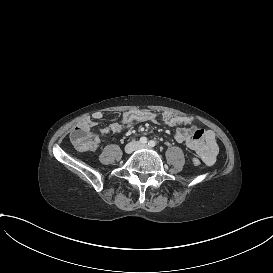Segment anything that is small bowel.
<instances>
[{
  "label": "small bowel",
  "mask_w": 273,
  "mask_h": 273,
  "mask_svg": "<svg viewBox=\"0 0 273 273\" xmlns=\"http://www.w3.org/2000/svg\"><path fill=\"white\" fill-rule=\"evenodd\" d=\"M103 113L95 111L90 116L84 117L83 120L91 121L96 125V121L102 119ZM161 120L168 126H179L175 131V138L178 142L186 144L191 150L196 152L203 160L206 166H212L218 154V145L214 131L198 127L193 120L182 114L164 112L161 117L158 113L146 109H134L125 111L120 120L109 124L101 130L102 134H119L124 128L134 122L150 121L156 122ZM98 143L100 137L94 136Z\"/></svg>",
  "instance_id": "c3829d8e"
}]
</instances>
